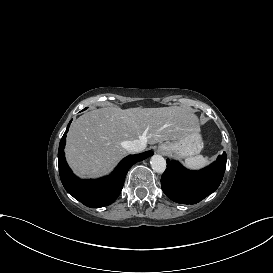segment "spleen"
<instances>
[{"label":"spleen","mask_w":273,"mask_h":273,"mask_svg":"<svg viewBox=\"0 0 273 273\" xmlns=\"http://www.w3.org/2000/svg\"><path fill=\"white\" fill-rule=\"evenodd\" d=\"M179 163L185 169L190 171H198L209 166L211 161L209 156H194L186 159L185 161H180Z\"/></svg>","instance_id":"1"}]
</instances>
